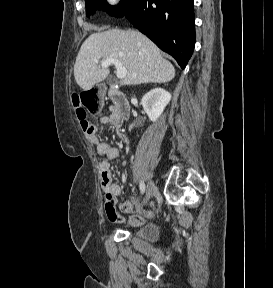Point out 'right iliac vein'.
<instances>
[{"mask_svg": "<svg viewBox=\"0 0 273 288\" xmlns=\"http://www.w3.org/2000/svg\"><path fill=\"white\" fill-rule=\"evenodd\" d=\"M155 191H156L155 184H154L153 181H150V182L148 183V187H147V191H146V196H145V199H144V201H143V203H142V206H145V205L149 202V200H150V199L152 198V196L154 195Z\"/></svg>", "mask_w": 273, "mask_h": 288, "instance_id": "obj_1", "label": "right iliac vein"}]
</instances>
